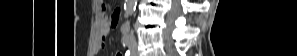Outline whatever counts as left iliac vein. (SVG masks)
<instances>
[{
    "mask_svg": "<svg viewBox=\"0 0 297 56\" xmlns=\"http://www.w3.org/2000/svg\"><path fill=\"white\" fill-rule=\"evenodd\" d=\"M129 47H130V49H131L132 56H138V52H137V50H136L135 45L132 44V43H130V44H129Z\"/></svg>",
    "mask_w": 297,
    "mask_h": 56,
    "instance_id": "obj_1",
    "label": "left iliac vein"
}]
</instances>
